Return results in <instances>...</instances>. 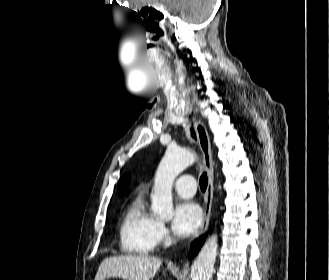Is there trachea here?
Segmentation results:
<instances>
[{"mask_svg":"<svg viewBox=\"0 0 329 280\" xmlns=\"http://www.w3.org/2000/svg\"><path fill=\"white\" fill-rule=\"evenodd\" d=\"M191 136L196 139V134L194 132L193 129H191ZM200 188H201V191L204 193L207 186H208V177H207V174L206 172L202 173L201 177H200Z\"/></svg>","mask_w":329,"mask_h":280,"instance_id":"obj_1","label":"trachea"}]
</instances>
